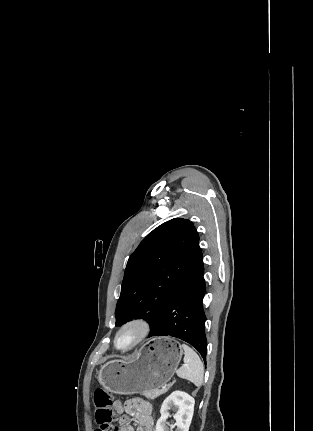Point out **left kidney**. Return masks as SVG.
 <instances>
[{
	"label": "left kidney",
	"mask_w": 313,
	"mask_h": 431,
	"mask_svg": "<svg viewBox=\"0 0 313 431\" xmlns=\"http://www.w3.org/2000/svg\"><path fill=\"white\" fill-rule=\"evenodd\" d=\"M194 404L195 400L189 394L182 391L172 392L161 406V417L156 423L155 431H168V427L165 423L168 417H170L169 410L172 406L177 410V413L174 415L175 425L177 427L176 431H189L194 412ZM172 429L173 427L170 431H173Z\"/></svg>",
	"instance_id": "obj_1"
}]
</instances>
